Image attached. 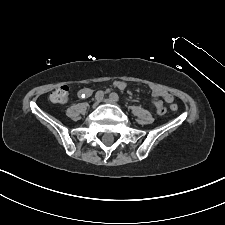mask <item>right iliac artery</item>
I'll use <instances>...</instances> for the list:
<instances>
[{
  "mask_svg": "<svg viewBox=\"0 0 225 225\" xmlns=\"http://www.w3.org/2000/svg\"><path fill=\"white\" fill-rule=\"evenodd\" d=\"M82 97H85V95L82 94ZM103 97H104V92H103V91H98V92H96V94H95V99H96V100H102Z\"/></svg>",
  "mask_w": 225,
  "mask_h": 225,
  "instance_id": "82829eb1",
  "label": "right iliac artery"
}]
</instances>
